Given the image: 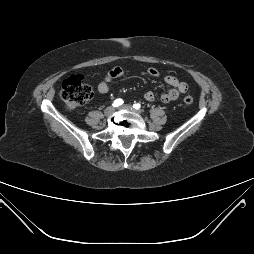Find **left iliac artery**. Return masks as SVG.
I'll use <instances>...</instances> for the list:
<instances>
[{
	"instance_id": "1",
	"label": "left iliac artery",
	"mask_w": 254,
	"mask_h": 254,
	"mask_svg": "<svg viewBox=\"0 0 254 254\" xmlns=\"http://www.w3.org/2000/svg\"><path fill=\"white\" fill-rule=\"evenodd\" d=\"M133 108H135V109H140L141 108V105L139 104V103H135L134 105H133Z\"/></svg>"
}]
</instances>
